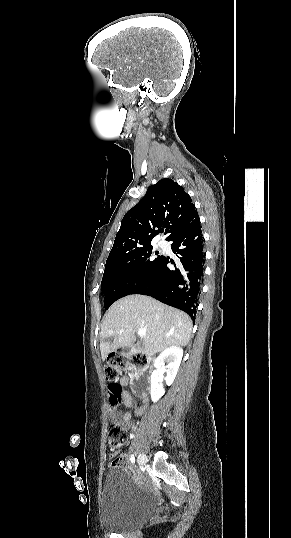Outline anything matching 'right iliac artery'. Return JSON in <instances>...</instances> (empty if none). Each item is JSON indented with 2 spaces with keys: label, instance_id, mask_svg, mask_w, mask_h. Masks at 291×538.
<instances>
[{
  "label": "right iliac artery",
  "instance_id": "right-iliac-artery-1",
  "mask_svg": "<svg viewBox=\"0 0 291 538\" xmlns=\"http://www.w3.org/2000/svg\"><path fill=\"white\" fill-rule=\"evenodd\" d=\"M130 460H131L132 463H134V461H135L134 455H131Z\"/></svg>",
  "mask_w": 291,
  "mask_h": 538
}]
</instances>
